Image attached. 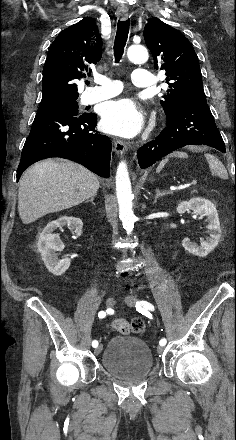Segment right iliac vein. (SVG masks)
I'll return each instance as SVG.
<instances>
[{
	"mask_svg": "<svg viewBox=\"0 0 236 440\" xmlns=\"http://www.w3.org/2000/svg\"><path fill=\"white\" fill-rule=\"evenodd\" d=\"M106 305L108 308H111L115 305V299L113 297H109L106 301ZM102 350V345L100 344L96 349H95V354H99Z\"/></svg>",
	"mask_w": 236,
	"mask_h": 440,
	"instance_id": "1",
	"label": "right iliac vein"
}]
</instances>
